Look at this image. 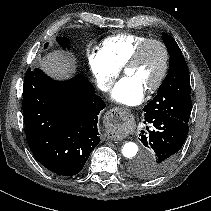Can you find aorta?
Returning a JSON list of instances; mask_svg holds the SVG:
<instances>
[{
  "instance_id": "obj_1",
  "label": "aorta",
  "mask_w": 211,
  "mask_h": 211,
  "mask_svg": "<svg viewBox=\"0 0 211 211\" xmlns=\"http://www.w3.org/2000/svg\"><path fill=\"white\" fill-rule=\"evenodd\" d=\"M139 148L134 142H127L123 145L122 154L125 158L133 159L137 156Z\"/></svg>"
}]
</instances>
